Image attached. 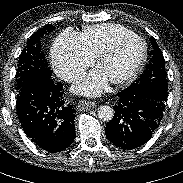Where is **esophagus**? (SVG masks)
<instances>
[{
    "label": "esophagus",
    "instance_id": "1",
    "mask_svg": "<svg viewBox=\"0 0 183 183\" xmlns=\"http://www.w3.org/2000/svg\"><path fill=\"white\" fill-rule=\"evenodd\" d=\"M95 107H97V104L95 102H91V101L80 100L77 103V109L79 111H86V110H90Z\"/></svg>",
    "mask_w": 183,
    "mask_h": 183
}]
</instances>
